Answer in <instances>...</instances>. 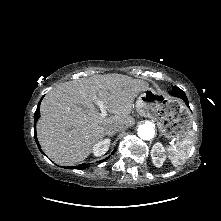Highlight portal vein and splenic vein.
Returning <instances> with one entry per match:
<instances>
[{"instance_id": "1", "label": "portal vein and splenic vein", "mask_w": 221, "mask_h": 221, "mask_svg": "<svg viewBox=\"0 0 221 221\" xmlns=\"http://www.w3.org/2000/svg\"><path fill=\"white\" fill-rule=\"evenodd\" d=\"M93 100L95 101V103L98 105V107L100 108L101 111V116L105 117L107 115L105 106H104V102L99 100L96 96L93 97Z\"/></svg>"}]
</instances>
